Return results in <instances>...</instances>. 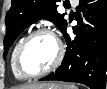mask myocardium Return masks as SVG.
Returning a JSON list of instances; mask_svg holds the SVG:
<instances>
[{"label":"myocardium","mask_w":107,"mask_h":89,"mask_svg":"<svg viewBox=\"0 0 107 89\" xmlns=\"http://www.w3.org/2000/svg\"><path fill=\"white\" fill-rule=\"evenodd\" d=\"M38 34H48V35H50V36H52L54 38V40L56 41V44H57V55H56L55 60L52 62V64L49 67H47L46 69L41 70V71L36 72V73H26L21 68V63H20L21 56H22L23 50L26 47L27 43L34 36H36ZM63 56H64V48H63V45H62L60 39L56 35V33L52 29H50L48 27H38V28L34 29L33 31H31L21 41V43H20V45H19V47L17 49L16 56H15V66H16L17 71L24 78H36V77L43 76V75L53 71L55 68H57L59 66V64L61 63V61L63 59Z\"/></svg>","instance_id":"f54148a6"}]
</instances>
